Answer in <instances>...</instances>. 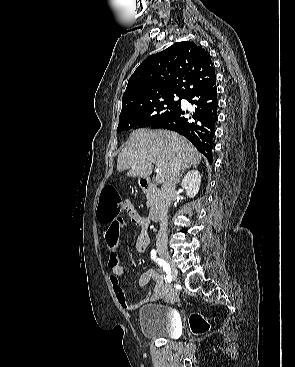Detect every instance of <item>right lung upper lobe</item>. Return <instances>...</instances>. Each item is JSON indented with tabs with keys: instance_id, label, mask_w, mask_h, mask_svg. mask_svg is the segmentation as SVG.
<instances>
[{
	"instance_id": "obj_1",
	"label": "right lung upper lobe",
	"mask_w": 295,
	"mask_h": 367,
	"mask_svg": "<svg viewBox=\"0 0 295 367\" xmlns=\"http://www.w3.org/2000/svg\"><path fill=\"white\" fill-rule=\"evenodd\" d=\"M213 79L215 72L209 53L194 42H177L146 58L134 71L122 97L121 113L138 100L164 94L185 97Z\"/></svg>"
}]
</instances>
